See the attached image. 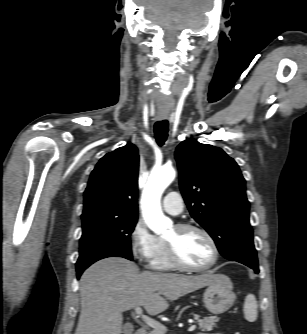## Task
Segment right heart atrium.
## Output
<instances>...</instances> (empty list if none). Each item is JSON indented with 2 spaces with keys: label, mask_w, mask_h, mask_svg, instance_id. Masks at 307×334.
Here are the masks:
<instances>
[{
  "label": "right heart atrium",
  "mask_w": 307,
  "mask_h": 334,
  "mask_svg": "<svg viewBox=\"0 0 307 334\" xmlns=\"http://www.w3.org/2000/svg\"><path fill=\"white\" fill-rule=\"evenodd\" d=\"M129 245L135 260L148 263L158 248V239L142 219H137L129 233Z\"/></svg>",
  "instance_id": "right-heart-atrium-1"
}]
</instances>
